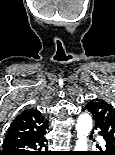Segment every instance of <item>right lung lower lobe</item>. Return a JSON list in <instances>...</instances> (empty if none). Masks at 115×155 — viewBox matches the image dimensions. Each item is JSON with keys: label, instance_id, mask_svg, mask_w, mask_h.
Segmentation results:
<instances>
[{"label": "right lung lower lobe", "instance_id": "98d812e1", "mask_svg": "<svg viewBox=\"0 0 115 155\" xmlns=\"http://www.w3.org/2000/svg\"><path fill=\"white\" fill-rule=\"evenodd\" d=\"M45 134L3 146L0 155H50Z\"/></svg>", "mask_w": 115, "mask_h": 155}]
</instances>
